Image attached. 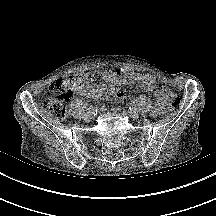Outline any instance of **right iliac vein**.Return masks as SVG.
I'll list each match as a JSON object with an SVG mask.
<instances>
[{
    "instance_id": "63e3f726",
    "label": "right iliac vein",
    "mask_w": 216,
    "mask_h": 216,
    "mask_svg": "<svg viewBox=\"0 0 216 216\" xmlns=\"http://www.w3.org/2000/svg\"><path fill=\"white\" fill-rule=\"evenodd\" d=\"M93 117H94V114H93L92 112H88V113L85 115L84 119H85L86 121H91V120L93 119Z\"/></svg>"
}]
</instances>
